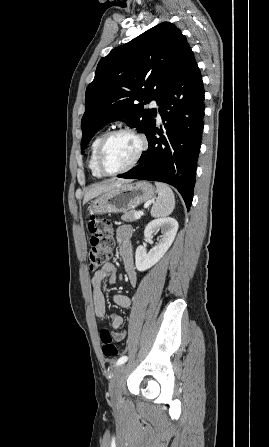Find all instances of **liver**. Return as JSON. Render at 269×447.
Returning a JSON list of instances; mask_svg holds the SVG:
<instances>
[{
  "label": "liver",
  "mask_w": 269,
  "mask_h": 447,
  "mask_svg": "<svg viewBox=\"0 0 269 447\" xmlns=\"http://www.w3.org/2000/svg\"><path fill=\"white\" fill-rule=\"evenodd\" d=\"M127 182H132V180H122V184H127ZM119 182H115V184H106V182H102V184H96V186H92L89 192H86L83 200V204H86L88 200H92V198H96V196H100L103 192H110L113 190L115 186H118Z\"/></svg>",
  "instance_id": "obj_1"
}]
</instances>
